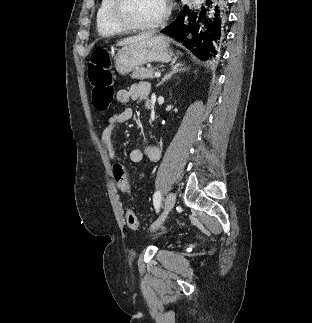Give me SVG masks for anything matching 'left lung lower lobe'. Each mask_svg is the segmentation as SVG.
I'll use <instances>...</instances> for the list:
<instances>
[{"instance_id":"1","label":"left lung lower lobe","mask_w":312,"mask_h":323,"mask_svg":"<svg viewBox=\"0 0 312 323\" xmlns=\"http://www.w3.org/2000/svg\"><path fill=\"white\" fill-rule=\"evenodd\" d=\"M226 14L224 0H207L206 7L197 12L185 7L161 32L181 42L199 59L206 60L220 53Z\"/></svg>"}]
</instances>
